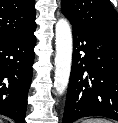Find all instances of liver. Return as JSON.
Masks as SVG:
<instances>
[{
    "label": "liver",
    "instance_id": "obj_1",
    "mask_svg": "<svg viewBox=\"0 0 118 123\" xmlns=\"http://www.w3.org/2000/svg\"><path fill=\"white\" fill-rule=\"evenodd\" d=\"M0 123H3L1 119H0Z\"/></svg>",
    "mask_w": 118,
    "mask_h": 123
}]
</instances>
